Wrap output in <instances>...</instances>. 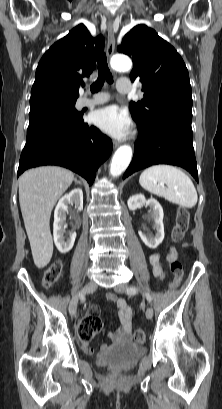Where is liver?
<instances>
[{
	"mask_svg": "<svg viewBox=\"0 0 222 409\" xmlns=\"http://www.w3.org/2000/svg\"><path fill=\"white\" fill-rule=\"evenodd\" d=\"M74 174L56 166H42L19 178V203L34 264L44 268L53 254L50 216L57 200L69 188Z\"/></svg>",
	"mask_w": 222,
	"mask_h": 409,
	"instance_id": "obj_1",
	"label": "liver"
}]
</instances>
